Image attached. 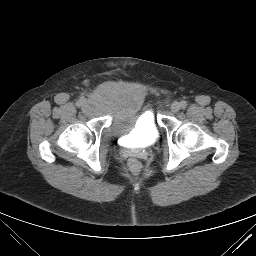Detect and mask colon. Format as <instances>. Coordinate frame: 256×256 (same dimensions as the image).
<instances>
[{
    "mask_svg": "<svg viewBox=\"0 0 256 256\" xmlns=\"http://www.w3.org/2000/svg\"><path fill=\"white\" fill-rule=\"evenodd\" d=\"M128 167L133 174H138L141 169V163L138 159L131 158L128 161Z\"/></svg>",
    "mask_w": 256,
    "mask_h": 256,
    "instance_id": "obj_1",
    "label": "colon"
}]
</instances>
